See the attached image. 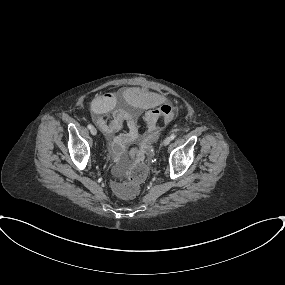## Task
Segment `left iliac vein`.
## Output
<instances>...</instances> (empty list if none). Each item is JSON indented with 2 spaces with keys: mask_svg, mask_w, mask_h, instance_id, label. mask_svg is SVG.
Instances as JSON below:
<instances>
[{
  "mask_svg": "<svg viewBox=\"0 0 285 285\" xmlns=\"http://www.w3.org/2000/svg\"><path fill=\"white\" fill-rule=\"evenodd\" d=\"M171 142V138L170 137H166L163 141V146H167L169 145V143Z\"/></svg>",
  "mask_w": 285,
  "mask_h": 285,
  "instance_id": "obj_1",
  "label": "left iliac vein"
}]
</instances>
